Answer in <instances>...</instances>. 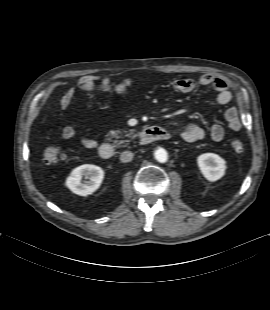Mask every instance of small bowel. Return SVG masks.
<instances>
[{
  "label": "small bowel",
  "instance_id": "obj_1",
  "mask_svg": "<svg viewBox=\"0 0 270 310\" xmlns=\"http://www.w3.org/2000/svg\"><path fill=\"white\" fill-rule=\"evenodd\" d=\"M102 78L97 75H85L80 77L74 86L68 88L60 98L59 106L61 109H66L76 91L78 89H88L91 86H96L98 89H105L103 83L101 84ZM131 80L126 79L113 88L115 95L122 97L126 94ZM201 86H211L217 92L216 103L219 105H226L231 102L233 98L232 92L229 90L227 83L222 78L214 76L212 74L202 75L198 81H195L191 78H181L173 81L172 86L174 90L180 93H190L195 90L197 85ZM225 119L227 121L228 128L232 131H239L242 127V122L238 113V110L235 107H229L225 111ZM206 135L205 130L196 123H190L187 127L181 132V137L186 142H196L202 140ZM209 135L214 141H221L225 136V129L220 124H213L210 127ZM62 136L65 139H76L83 147L85 148H95L97 142L91 138L81 136L77 130L72 126H66L62 130Z\"/></svg>",
  "mask_w": 270,
  "mask_h": 310
}]
</instances>
